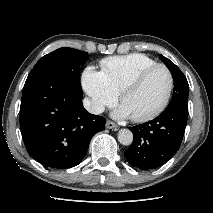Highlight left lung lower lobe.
Instances as JSON below:
<instances>
[{"instance_id": "1", "label": "left lung lower lobe", "mask_w": 213, "mask_h": 213, "mask_svg": "<svg viewBox=\"0 0 213 213\" xmlns=\"http://www.w3.org/2000/svg\"><path fill=\"white\" fill-rule=\"evenodd\" d=\"M188 108L171 105L155 119L129 129L134 141L125 151L128 162L142 170L166 163L179 149L185 132Z\"/></svg>"}]
</instances>
